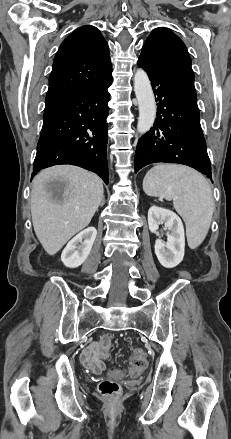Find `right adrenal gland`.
Returning <instances> with one entry per match:
<instances>
[{
    "label": "right adrenal gland",
    "mask_w": 231,
    "mask_h": 439,
    "mask_svg": "<svg viewBox=\"0 0 231 439\" xmlns=\"http://www.w3.org/2000/svg\"><path fill=\"white\" fill-rule=\"evenodd\" d=\"M105 203V200H104V198L102 199V202H101V206L103 205Z\"/></svg>",
    "instance_id": "obj_1"
}]
</instances>
